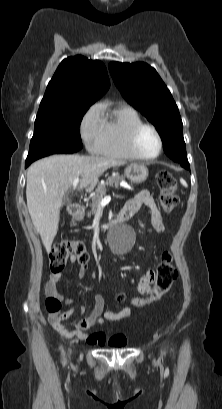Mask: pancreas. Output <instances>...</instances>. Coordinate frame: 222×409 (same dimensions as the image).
<instances>
[{
    "label": "pancreas",
    "mask_w": 222,
    "mask_h": 409,
    "mask_svg": "<svg viewBox=\"0 0 222 409\" xmlns=\"http://www.w3.org/2000/svg\"><path fill=\"white\" fill-rule=\"evenodd\" d=\"M120 181H123V177L120 176L119 174H116L113 177H109L105 183L98 185L97 189L95 190V196L92 198V201L90 203L91 210L87 213V216L89 218L91 214H94L96 212L97 208L100 206V201L106 195L107 191L106 186L113 184H115V186H118V183Z\"/></svg>",
    "instance_id": "1"
}]
</instances>
